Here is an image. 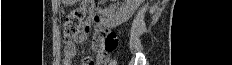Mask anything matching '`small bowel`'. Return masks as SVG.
Masks as SVG:
<instances>
[{"instance_id":"c3829d8e","label":"small bowel","mask_w":232,"mask_h":65,"mask_svg":"<svg viewBox=\"0 0 232 65\" xmlns=\"http://www.w3.org/2000/svg\"><path fill=\"white\" fill-rule=\"evenodd\" d=\"M93 27H95L96 30V37H102L105 36L109 31L102 28L100 23V16L99 13L96 12L93 14L90 18H88L83 27L82 30L84 33L90 32ZM81 41V37L76 38L75 42ZM76 55V47L74 42L67 43L64 48L63 52V64L64 65H71ZM82 65H103V62H91L90 60H86L82 63Z\"/></svg>"}]
</instances>
